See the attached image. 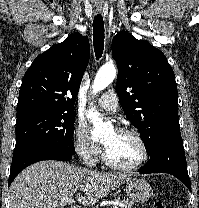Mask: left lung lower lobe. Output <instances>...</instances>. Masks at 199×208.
Segmentation results:
<instances>
[{
	"label": "left lung lower lobe",
	"mask_w": 199,
	"mask_h": 208,
	"mask_svg": "<svg viewBox=\"0 0 199 208\" xmlns=\"http://www.w3.org/2000/svg\"><path fill=\"white\" fill-rule=\"evenodd\" d=\"M149 156L150 160L139 170L140 173H169L191 190L180 131L163 136L149 152Z\"/></svg>",
	"instance_id": "0a47b994"
}]
</instances>
